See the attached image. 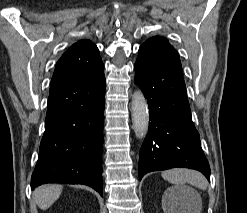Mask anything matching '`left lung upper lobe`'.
<instances>
[{"mask_svg": "<svg viewBox=\"0 0 247 213\" xmlns=\"http://www.w3.org/2000/svg\"><path fill=\"white\" fill-rule=\"evenodd\" d=\"M163 56L180 60L178 52L169 44L166 38L155 36L149 38L140 46L137 59L151 60Z\"/></svg>", "mask_w": 247, "mask_h": 213, "instance_id": "1", "label": "left lung upper lobe"}]
</instances>
